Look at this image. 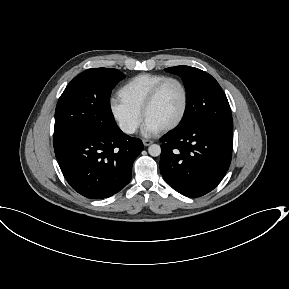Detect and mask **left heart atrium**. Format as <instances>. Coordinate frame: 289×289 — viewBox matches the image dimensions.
<instances>
[{
  "label": "left heart atrium",
  "mask_w": 289,
  "mask_h": 289,
  "mask_svg": "<svg viewBox=\"0 0 289 289\" xmlns=\"http://www.w3.org/2000/svg\"><path fill=\"white\" fill-rule=\"evenodd\" d=\"M161 130V128H159L158 126L152 124L149 121H145L144 125H143V134L146 136H150L153 134H156L157 132H159Z\"/></svg>",
  "instance_id": "obj_1"
}]
</instances>
